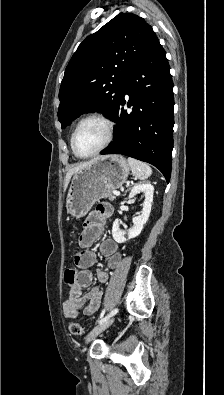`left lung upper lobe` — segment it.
<instances>
[{
    "instance_id": "5c2ea615",
    "label": "left lung upper lobe",
    "mask_w": 224,
    "mask_h": 395,
    "mask_svg": "<svg viewBox=\"0 0 224 395\" xmlns=\"http://www.w3.org/2000/svg\"><path fill=\"white\" fill-rule=\"evenodd\" d=\"M158 41L152 27L132 13H120L78 47L59 91L58 119L65 128L85 112L112 117L127 79Z\"/></svg>"
}]
</instances>
